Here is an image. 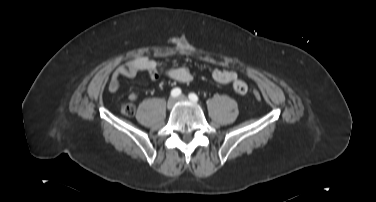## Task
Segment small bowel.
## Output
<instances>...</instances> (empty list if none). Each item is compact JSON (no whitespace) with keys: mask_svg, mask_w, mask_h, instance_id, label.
<instances>
[{"mask_svg":"<svg viewBox=\"0 0 376 202\" xmlns=\"http://www.w3.org/2000/svg\"><path fill=\"white\" fill-rule=\"evenodd\" d=\"M140 72L147 73L148 77L152 80L158 79L160 71L154 60L146 56H139L130 59L123 64L119 65L111 75L108 83V90L111 93H116L120 88L121 78H132ZM164 75L169 79L180 83H189L193 79V74L187 67H170L164 72ZM214 81L220 84L233 83V90L238 95H244L247 93V84L238 79V73L233 70L215 69L212 73ZM128 99L135 101L137 94L134 92L129 93Z\"/></svg>","mask_w":376,"mask_h":202,"instance_id":"obj_1","label":"small bowel"}]
</instances>
